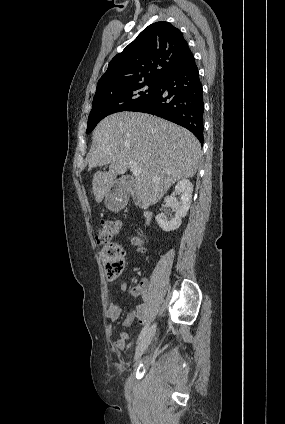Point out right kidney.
Here are the masks:
<instances>
[{
    "mask_svg": "<svg viewBox=\"0 0 285 424\" xmlns=\"http://www.w3.org/2000/svg\"><path fill=\"white\" fill-rule=\"evenodd\" d=\"M192 192L193 184L187 180L182 179L175 185V190L173 194L165 199L167 204H172L173 212H175V217L170 221H167L166 217L163 214L156 216V221L159 227L166 232L174 231L178 229L182 223V218L187 215V212L190 208L192 201ZM180 194V201L177 200L175 195Z\"/></svg>",
    "mask_w": 285,
    "mask_h": 424,
    "instance_id": "1",
    "label": "right kidney"
}]
</instances>
